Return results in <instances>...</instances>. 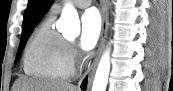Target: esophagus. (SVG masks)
<instances>
[{
    "label": "esophagus",
    "instance_id": "esophagus-1",
    "mask_svg": "<svg viewBox=\"0 0 173 91\" xmlns=\"http://www.w3.org/2000/svg\"><path fill=\"white\" fill-rule=\"evenodd\" d=\"M100 4H101V15H102V30L100 36V43L97 50V54L92 64L85 71V73L83 74L82 78L78 83L79 91H89L91 89L95 71L99 63V60L102 56V53L104 51L106 43L107 30H108V0H100Z\"/></svg>",
    "mask_w": 173,
    "mask_h": 91
}]
</instances>
